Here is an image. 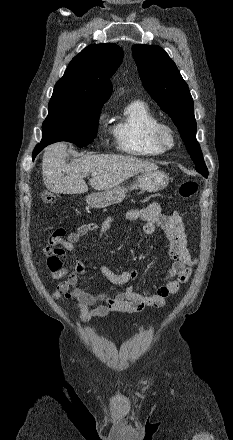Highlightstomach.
Returning a JSON list of instances; mask_svg holds the SVG:
<instances>
[{
    "label": "stomach",
    "mask_w": 233,
    "mask_h": 440,
    "mask_svg": "<svg viewBox=\"0 0 233 440\" xmlns=\"http://www.w3.org/2000/svg\"><path fill=\"white\" fill-rule=\"evenodd\" d=\"M169 183V178L166 173L160 170L144 171L136 176V181L130 187L116 186L111 189L92 193L86 197V203L91 208H105L122 202L128 189H141L148 192H157L165 188Z\"/></svg>",
    "instance_id": "0dacf381"
}]
</instances>
